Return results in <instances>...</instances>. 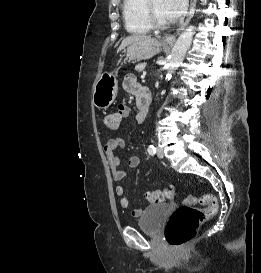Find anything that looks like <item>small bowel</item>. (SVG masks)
Returning <instances> with one entry per match:
<instances>
[{"mask_svg": "<svg viewBox=\"0 0 261 273\" xmlns=\"http://www.w3.org/2000/svg\"><path fill=\"white\" fill-rule=\"evenodd\" d=\"M124 89L135 96L136 99L142 93L143 88L136 80L135 76L128 74L123 81ZM119 111L123 112V117H127L129 114V108L126 105H120ZM125 148V142L121 138H111L104 145V153L107 158L108 166L111 172V176L114 181H122L126 174L127 168H137L140 165V158L138 156H130L127 160L126 167L121 168V159L117 154V151ZM116 194L120 197V207L127 209L129 207V198L125 196V188L122 185H117L115 188ZM142 209H134L132 215L134 217L140 216Z\"/></svg>", "mask_w": 261, "mask_h": 273, "instance_id": "small-bowel-1", "label": "small bowel"}]
</instances>
